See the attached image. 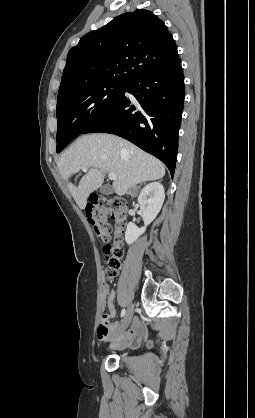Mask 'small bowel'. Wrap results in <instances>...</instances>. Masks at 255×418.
<instances>
[{"label":"small bowel","instance_id":"small-bowel-1","mask_svg":"<svg viewBox=\"0 0 255 418\" xmlns=\"http://www.w3.org/2000/svg\"><path fill=\"white\" fill-rule=\"evenodd\" d=\"M102 292L104 295L102 315L105 316V320L103 322L104 327H101L100 325L98 327V340H110L114 349H119L136 344L142 332L140 325L135 324L130 330H126V328L121 329V325L117 321L112 320L115 316L114 291H109L107 284H103Z\"/></svg>","mask_w":255,"mask_h":418}]
</instances>
